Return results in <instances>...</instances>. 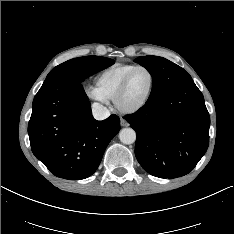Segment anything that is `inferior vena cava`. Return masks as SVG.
I'll return each mask as SVG.
<instances>
[{
  "label": "inferior vena cava",
  "mask_w": 234,
  "mask_h": 234,
  "mask_svg": "<svg viewBox=\"0 0 234 234\" xmlns=\"http://www.w3.org/2000/svg\"><path fill=\"white\" fill-rule=\"evenodd\" d=\"M92 115L96 120H104L110 116L109 110L99 103L92 104Z\"/></svg>",
  "instance_id": "602c4592"
}]
</instances>
